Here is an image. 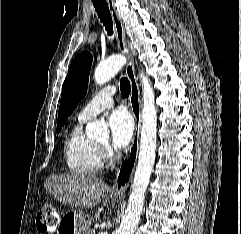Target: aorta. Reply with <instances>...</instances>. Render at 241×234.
Listing matches in <instances>:
<instances>
[{
  "instance_id": "obj_1",
  "label": "aorta",
  "mask_w": 241,
  "mask_h": 234,
  "mask_svg": "<svg viewBox=\"0 0 241 234\" xmlns=\"http://www.w3.org/2000/svg\"><path fill=\"white\" fill-rule=\"evenodd\" d=\"M125 63L126 58L123 55L111 56L100 62L94 71L95 82L99 85L108 82ZM140 80L143 85V108L139 158L128 205L116 234L134 233L142 214L145 192L155 163L157 142L155 96L150 80L143 72L140 73ZM86 134L89 138L107 137L109 130L104 122L93 121L87 124Z\"/></svg>"
}]
</instances>
